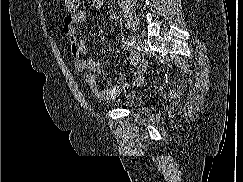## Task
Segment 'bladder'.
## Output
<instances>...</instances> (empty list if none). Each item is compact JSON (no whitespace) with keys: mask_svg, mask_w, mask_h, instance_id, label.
<instances>
[{"mask_svg":"<svg viewBox=\"0 0 243 182\" xmlns=\"http://www.w3.org/2000/svg\"><path fill=\"white\" fill-rule=\"evenodd\" d=\"M145 94L137 90H131L126 92L120 99L117 100L116 104L123 108H133L144 104Z\"/></svg>","mask_w":243,"mask_h":182,"instance_id":"31cf9c89","label":"bladder"}]
</instances>
